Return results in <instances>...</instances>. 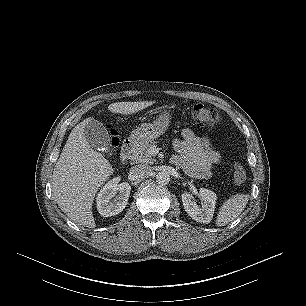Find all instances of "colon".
Listing matches in <instances>:
<instances>
[{"label":"colon","instance_id":"obj_1","mask_svg":"<svg viewBox=\"0 0 306 306\" xmlns=\"http://www.w3.org/2000/svg\"><path fill=\"white\" fill-rule=\"evenodd\" d=\"M190 113L193 119L207 127H215L220 121L219 112L210 106L204 104H194L190 107ZM111 149L113 150L118 145V138L115 133H112ZM246 180V170L242 162L236 161L234 164V182L241 185Z\"/></svg>","mask_w":306,"mask_h":306}]
</instances>
